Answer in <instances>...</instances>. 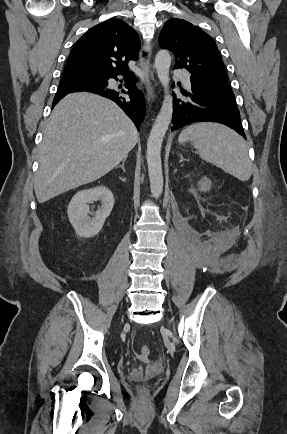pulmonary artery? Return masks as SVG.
Here are the masks:
<instances>
[{
	"mask_svg": "<svg viewBox=\"0 0 287 434\" xmlns=\"http://www.w3.org/2000/svg\"><path fill=\"white\" fill-rule=\"evenodd\" d=\"M174 75H176L182 79V82L187 89L191 88V80H190L188 73H186L180 69H176L174 71Z\"/></svg>",
	"mask_w": 287,
	"mask_h": 434,
	"instance_id": "1",
	"label": "pulmonary artery"
}]
</instances>
